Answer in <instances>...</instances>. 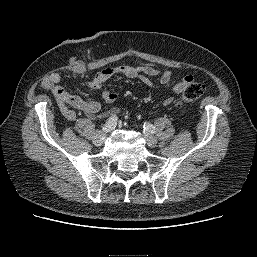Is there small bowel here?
Returning <instances> with one entry per match:
<instances>
[{"label": "small bowel", "mask_w": 257, "mask_h": 257, "mask_svg": "<svg viewBox=\"0 0 257 257\" xmlns=\"http://www.w3.org/2000/svg\"><path fill=\"white\" fill-rule=\"evenodd\" d=\"M75 73L80 74L82 73V70H75ZM117 75H122L129 79H138L149 86L153 85L150 80L151 76L160 75V86H166L173 80V73L168 70L160 72L157 69L147 65H120L112 68H106L96 74V76L88 83V87L91 89H99L106 81ZM61 79L62 78L59 74H53L49 77V80L52 82L50 90L55 96L60 110L65 118L68 120H74L76 117L75 112L70 109L69 106L84 112L90 117H94L100 111L101 105L99 102L84 100L80 96L74 95L58 85L57 83H59ZM192 80V76L184 77L180 82L173 86V92L176 94L181 93L184 86ZM101 97L106 103H113L117 99L118 94L114 91L104 90ZM172 101V97H168L164 100V105H170Z\"/></svg>", "instance_id": "1"}]
</instances>
